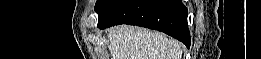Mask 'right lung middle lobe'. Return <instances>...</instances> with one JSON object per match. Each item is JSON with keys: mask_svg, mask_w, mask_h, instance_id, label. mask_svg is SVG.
Masks as SVG:
<instances>
[{"mask_svg": "<svg viewBox=\"0 0 261 59\" xmlns=\"http://www.w3.org/2000/svg\"><path fill=\"white\" fill-rule=\"evenodd\" d=\"M119 0H97L95 11L98 16L105 14L109 11Z\"/></svg>", "mask_w": 261, "mask_h": 59, "instance_id": "obj_1", "label": "right lung middle lobe"}]
</instances>
